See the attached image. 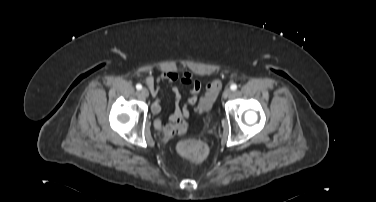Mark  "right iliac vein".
<instances>
[{"mask_svg": "<svg viewBox=\"0 0 376 202\" xmlns=\"http://www.w3.org/2000/svg\"><path fill=\"white\" fill-rule=\"evenodd\" d=\"M140 93L145 98H147L149 96V92L146 88H142Z\"/></svg>", "mask_w": 376, "mask_h": 202, "instance_id": "obj_1", "label": "right iliac vein"}]
</instances>
